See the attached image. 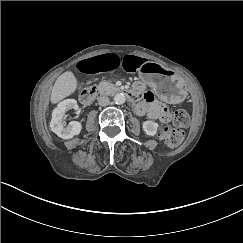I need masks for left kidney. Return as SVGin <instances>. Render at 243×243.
<instances>
[{"mask_svg": "<svg viewBox=\"0 0 243 243\" xmlns=\"http://www.w3.org/2000/svg\"><path fill=\"white\" fill-rule=\"evenodd\" d=\"M158 124L154 121L143 122V130L147 135L154 136L157 133Z\"/></svg>", "mask_w": 243, "mask_h": 243, "instance_id": "5707ae66", "label": "left kidney"}]
</instances>
